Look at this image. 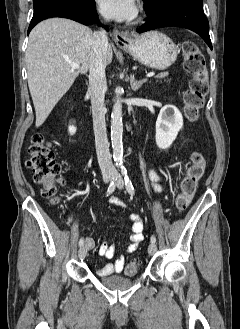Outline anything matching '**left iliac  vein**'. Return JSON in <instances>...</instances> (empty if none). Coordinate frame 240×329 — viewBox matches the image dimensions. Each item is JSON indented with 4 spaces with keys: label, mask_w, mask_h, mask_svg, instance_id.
I'll use <instances>...</instances> for the list:
<instances>
[{
    "label": "left iliac vein",
    "mask_w": 240,
    "mask_h": 329,
    "mask_svg": "<svg viewBox=\"0 0 240 329\" xmlns=\"http://www.w3.org/2000/svg\"><path fill=\"white\" fill-rule=\"evenodd\" d=\"M114 177L116 179V185H117V187L121 189L123 187V178L118 173H115ZM156 250H157V246H156L155 243H151L148 246V253H149V255H153L156 252Z\"/></svg>",
    "instance_id": "1"
}]
</instances>
